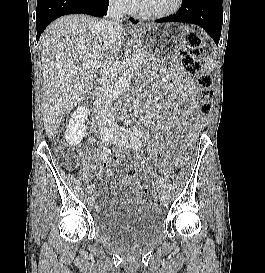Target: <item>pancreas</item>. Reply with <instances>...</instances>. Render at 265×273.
Masks as SVG:
<instances>
[{
  "label": "pancreas",
  "mask_w": 265,
  "mask_h": 273,
  "mask_svg": "<svg viewBox=\"0 0 265 273\" xmlns=\"http://www.w3.org/2000/svg\"><path fill=\"white\" fill-rule=\"evenodd\" d=\"M136 54H141L140 57L141 63H147L148 61L153 59L143 48H137Z\"/></svg>",
  "instance_id": "cf45deb5"
}]
</instances>
